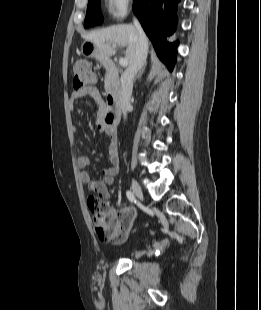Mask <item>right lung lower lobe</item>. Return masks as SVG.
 <instances>
[{
  "instance_id": "right-lung-lower-lobe-1",
  "label": "right lung lower lobe",
  "mask_w": 261,
  "mask_h": 310,
  "mask_svg": "<svg viewBox=\"0 0 261 310\" xmlns=\"http://www.w3.org/2000/svg\"><path fill=\"white\" fill-rule=\"evenodd\" d=\"M180 0H134L133 10L151 40L158 57L172 70L178 42L167 37L176 27V10Z\"/></svg>"
}]
</instances>
